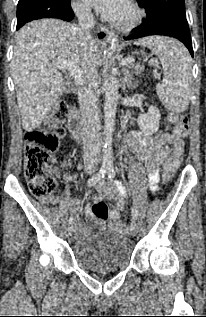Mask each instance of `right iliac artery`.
Instances as JSON below:
<instances>
[{
	"mask_svg": "<svg viewBox=\"0 0 206 317\" xmlns=\"http://www.w3.org/2000/svg\"><path fill=\"white\" fill-rule=\"evenodd\" d=\"M106 173H107V168L101 167L100 170L96 174H94L92 177H90L88 179L87 185L88 186L95 185L96 183H98L99 181H101L105 177ZM68 222H69V224H72L73 218L70 217Z\"/></svg>",
	"mask_w": 206,
	"mask_h": 317,
	"instance_id": "right-iliac-artery-1",
	"label": "right iliac artery"
}]
</instances>
